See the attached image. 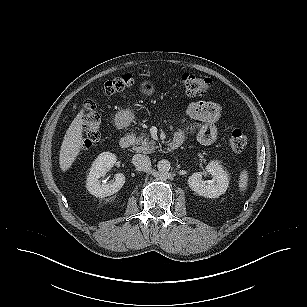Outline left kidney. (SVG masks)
<instances>
[{"label": "left kidney", "instance_id": "1", "mask_svg": "<svg viewBox=\"0 0 307 307\" xmlns=\"http://www.w3.org/2000/svg\"><path fill=\"white\" fill-rule=\"evenodd\" d=\"M211 174L212 180L204 181V174ZM192 191L205 198H217L224 194L229 185V176L217 161H211L203 172L193 173L188 179Z\"/></svg>", "mask_w": 307, "mask_h": 307}]
</instances>
